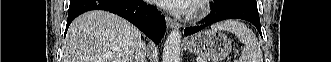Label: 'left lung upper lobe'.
Segmentation results:
<instances>
[{
	"instance_id": "obj_1",
	"label": "left lung upper lobe",
	"mask_w": 331,
	"mask_h": 62,
	"mask_svg": "<svg viewBox=\"0 0 331 62\" xmlns=\"http://www.w3.org/2000/svg\"><path fill=\"white\" fill-rule=\"evenodd\" d=\"M229 1H232V0H214V3H215V5H222V4H225V3L229 2ZM245 1H248L250 3L257 4L256 3V0H245Z\"/></svg>"
}]
</instances>
